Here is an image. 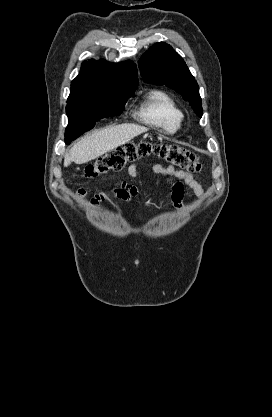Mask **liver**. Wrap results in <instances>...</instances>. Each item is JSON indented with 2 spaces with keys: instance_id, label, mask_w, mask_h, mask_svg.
<instances>
[{
  "instance_id": "1",
  "label": "liver",
  "mask_w": 272,
  "mask_h": 417,
  "mask_svg": "<svg viewBox=\"0 0 272 417\" xmlns=\"http://www.w3.org/2000/svg\"><path fill=\"white\" fill-rule=\"evenodd\" d=\"M147 131L146 127L127 123L95 131L71 148L65 155L64 166L71 162L87 163Z\"/></svg>"
}]
</instances>
